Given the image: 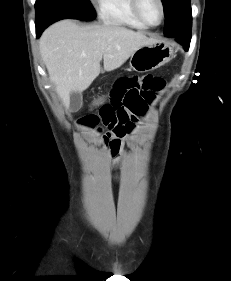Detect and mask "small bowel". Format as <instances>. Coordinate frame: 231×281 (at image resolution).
I'll return each instance as SVG.
<instances>
[{
    "label": "small bowel",
    "mask_w": 231,
    "mask_h": 281,
    "mask_svg": "<svg viewBox=\"0 0 231 281\" xmlns=\"http://www.w3.org/2000/svg\"><path fill=\"white\" fill-rule=\"evenodd\" d=\"M165 80L155 74H127L118 77L108 93L109 101L102 104L97 114H90L78 120V124L102 131V139L111 156L120 152L122 138L130 133L147 115L156 93L162 91Z\"/></svg>",
    "instance_id": "c3829d8e"
}]
</instances>
